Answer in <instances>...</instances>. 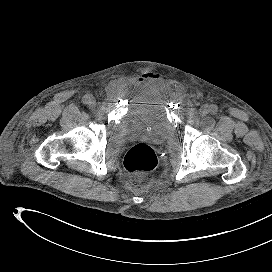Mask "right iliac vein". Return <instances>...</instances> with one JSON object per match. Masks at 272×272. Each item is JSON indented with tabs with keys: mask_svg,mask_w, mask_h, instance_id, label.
Returning a JSON list of instances; mask_svg holds the SVG:
<instances>
[{
	"mask_svg": "<svg viewBox=\"0 0 272 272\" xmlns=\"http://www.w3.org/2000/svg\"><path fill=\"white\" fill-rule=\"evenodd\" d=\"M89 106L91 108H94L96 106V101H95V99L93 97L89 98Z\"/></svg>",
	"mask_w": 272,
	"mask_h": 272,
	"instance_id": "obj_1",
	"label": "right iliac vein"
}]
</instances>
